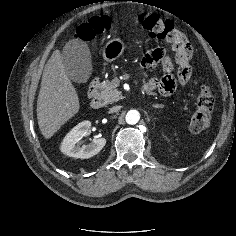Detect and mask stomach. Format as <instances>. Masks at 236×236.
I'll use <instances>...</instances> for the list:
<instances>
[{
  "label": "stomach",
  "mask_w": 236,
  "mask_h": 236,
  "mask_svg": "<svg viewBox=\"0 0 236 236\" xmlns=\"http://www.w3.org/2000/svg\"><path fill=\"white\" fill-rule=\"evenodd\" d=\"M125 50L124 42L119 38H113L108 41L103 49L105 61L111 62L118 59Z\"/></svg>",
  "instance_id": "0dacf381"
}]
</instances>
